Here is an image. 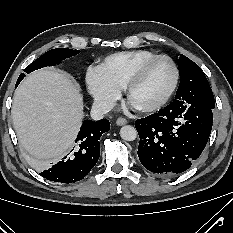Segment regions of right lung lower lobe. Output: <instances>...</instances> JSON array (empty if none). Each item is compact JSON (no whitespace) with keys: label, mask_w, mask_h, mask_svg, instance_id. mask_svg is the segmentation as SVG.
Returning a JSON list of instances; mask_svg holds the SVG:
<instances>
[{"label":"right lung lower lobe","mask_w":233,"mask_h":233,"mask_svg":"<svg viewBox=\"0 0 233 233\" xmlns=\"http://www.w3.org/2000/svg\"><path fill=\"white\" fill-rule=\"evenodd\" d=\"M22 79L18 78L16 87ZM110 129V122L85 120L75 140L74 149L63 160L40 173L44 178L60 183H73L83 179L100 156V137Z\"/></svg>","instance_id":"1"}]
</instances>
